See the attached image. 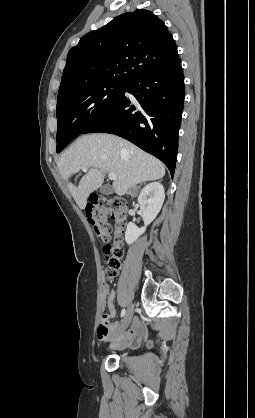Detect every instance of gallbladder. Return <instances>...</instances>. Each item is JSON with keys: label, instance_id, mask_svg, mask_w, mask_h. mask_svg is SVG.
I'll use <instances>...</instances> for the list:
<instances>
[{"label": "gallbladder", "instance_id": "gallbladder-1", "mask_svg": "<svg viewBox=\"0 0 255 418\" xmlns=\"http://www.w3.org/2000/svg\"><path fill=\"white\" fill-rule=\"evenodd\" d=\"M113 187L110 185H104L101 187L100 192L104 195H111L113 193Z\"/></svg>", "mask_w": 255, "mask_h": 418}]
</instances>
